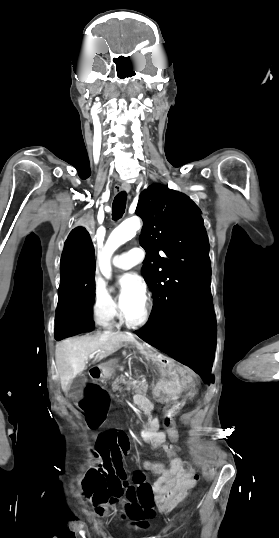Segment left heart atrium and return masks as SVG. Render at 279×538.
I'll return each instance as SVG.
<instances>
[{
  "label": "left heart atrium",
  "mask_w": 279,
  "mask_h": 538,
  "mask_svg": "<svg viewBox=\"0 0 279 538\" xmlns=\"http://www.w3.org/2000/svg\"><path fill=\"white\" fill-rule=\"evenodd\" d=\"M122 293H121V305L122 307L131 301H143L145 294V287L142 280L133 275L125 274L121 278Z\"/></svg>",
  "instance_id": "39dd6f15"
}]
</instances>
